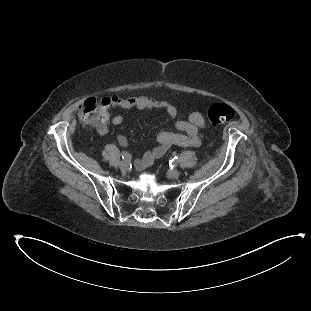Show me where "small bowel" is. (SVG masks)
<instances>
[{"label":"small bowel","mask_w":311,"mask_h":311,"mask_svg":"<svg viewBox=\"0 0 311 311\" xmlns=\"http://www.w3.org/2000/svg\"><path fill=\"white\" fill-rule=\"evenodd\" d=\"M126 98L128 104L125 110L162 109L170 117H174L177 113L176 107L167 101L157 100L143 95H133ZM123 120L124 117L121 114H117L112 117L111 123L114 126H118L122 124ZM205 125L206 123L203 115L199 112H192L186 120H179L176 122V129L180 131V133L166 131L158 133L156 137L159 143L158 146L143 154L136 163L137 168L139 170L148 168L155 160L164 156L172 146H200L203 139L202 130L205 128ZM96 127L100 135L107 134L108 127L105 122H102ZM118 142L122 146L127 144L126 138L122 135L118 136Z\"/></svg>","instance_id":"small-bowel-1"}]
</instances>
